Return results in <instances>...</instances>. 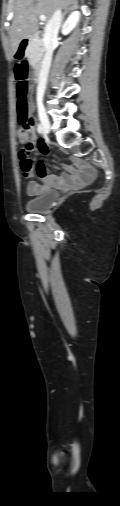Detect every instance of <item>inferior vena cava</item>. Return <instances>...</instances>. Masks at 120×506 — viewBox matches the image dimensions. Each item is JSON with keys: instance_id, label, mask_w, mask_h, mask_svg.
I'll return each instance as SVG.
<instances>
[{"instance_id": "602c4592", "label": "inferior vena cava", "mask_w": 120, "mask_h": 506, "mask_svg": "<svg viewBox=\"0 0 120 506\" xmlns=\"http://www.w3.org/2000/svg\"><path fill=\"white\" fill-rule=\"evenodd\" d=\"M62 23V14L61 10L57 9L51 19L48 21V23L45 26L44 30V47H45V55L42 62L40 74H39V83L37 86V101L42 102L45 87H46V81L51 65L52 60V54L54 50V45L57 40V35L59 32V28Z\"/></svg>"}]
</instances>
